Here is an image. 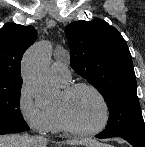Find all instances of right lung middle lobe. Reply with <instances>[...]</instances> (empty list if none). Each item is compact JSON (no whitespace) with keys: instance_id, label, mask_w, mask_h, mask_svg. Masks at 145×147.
Returning <instances> with one entry per match:
<instances>
[{"instance_id":"1","label":"right lung middle lobe","mask_w":145,"mask_h":147,"mask_svg":"<svg viewBox=\"0 0 145 147\" xmlns=\"http://www.w3.org/2000/svg\"><path fill=\"white\" fill-rule=\"evenodd\" d=\"M21 86L0 89V134L29 130L19 109Z\"/></svg>"}]
</instances>
